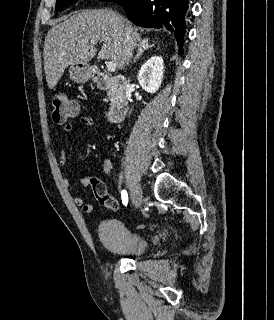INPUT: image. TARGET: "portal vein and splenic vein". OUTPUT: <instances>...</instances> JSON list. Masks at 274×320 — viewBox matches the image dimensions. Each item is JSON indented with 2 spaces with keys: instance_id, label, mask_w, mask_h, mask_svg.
<instances>
[{
  "instance_id": "18ae733b",
  "label": "portal vein and splenic vein",
  "mask_w": 274,
  "mask_h": 320,
  "mask_svg": "<svg viewBox=\"0 0 274 320\" xmlns=\"http://www.w3.org/2000/svg\"><path fill=\"white\" fill-rule=\"evenodd\" d=\"M107 72H115L116 64L115 62H105Z\"/></svg>"
}]
</instances>
